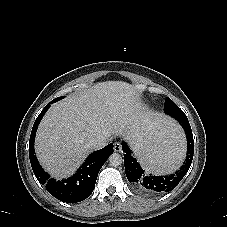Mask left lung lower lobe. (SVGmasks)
Wrapping results in <instances>:
<instances>
[{
	"instance_id": "left-lung-lower-lobe-1",
	"label": "left lung lower lobe",
	"mask_w": 227,
	"mask_h": 227,
	"mask_svg": "<svg viewBox=\"0 0 227 227\" xmlns=\"http://www.w3.org/2000/svg\"><path fill=\"white\" fill-rule=\"evenodd\" d=\"M164 112L180 123L187 137L186 160L178 171L168 176L148 175L132 156L128 145L125 142L122 143L123 152H125L124 166L127 179L136 191L148 196L162 195L173 190L188 172L194 154L193 134L185 113L170 98L165 101Z\"/></svg>"
}]
</instances>
